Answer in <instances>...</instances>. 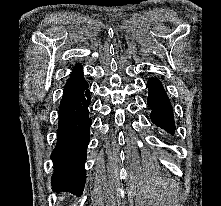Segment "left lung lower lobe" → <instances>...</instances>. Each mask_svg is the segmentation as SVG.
<instances>
[{
    "instance_id": "left-lung-lower-lobe-1",
    "label": "left lung lower lobe",
    "mask_w": 221,
    "mask_h": 206,
    "mask_svg": "<svg viewBox=\"0 0 221 206\" xmlns=\"http://www.w3.org/2000/svg\"><path fill=\"white\" fill-rule=\"evenodd\" d=\"M147 86L149 90L148 105L152 110V122L157 127L174 134L175 124L172 106L161 82L156 78H151Z\"/></svg>"
}]
</instances>
